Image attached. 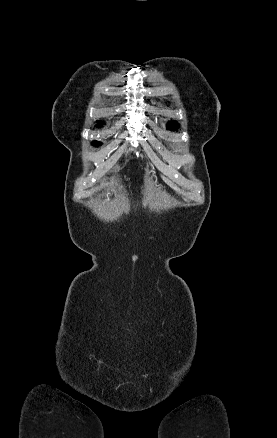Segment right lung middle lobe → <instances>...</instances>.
<instances>
[{"label": "right lung middle lobe", "mask_w": 277, "mask_h": 438, "mask_svg": "<svg viewBox=\"0 0 277 438\" xmlns=\"http://www.w3.org/2000/svg\"><path fill=\"white\" fill-rule=\"evenodd\" d=\"M93 144H95L97 146V145H100L101 143L95 141V142H93Z\"/></svg>", "instance_id": "dd1d6c3e"}]
</instances>
